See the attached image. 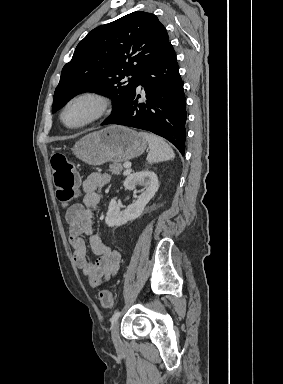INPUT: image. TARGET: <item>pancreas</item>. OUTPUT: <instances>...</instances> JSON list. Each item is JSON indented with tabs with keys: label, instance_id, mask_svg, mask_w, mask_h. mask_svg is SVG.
Listing matches in <instances>:
<instances>
[{
	"label": "pancreas",
	"instance_id": "1",
	"mask_svg": "<svg viewBox=\"0 0 283 384\" xmlns=\"http://www.w3.org/2000/svg\"><path fill=\"white\" fill-rule=\"evenodd\" d=\"M110 170L112 174H121L123 166L122 164H110Z\"/></svg>",
	"mask_w": 283,
	"mask_h": 384
}]
</instances>
